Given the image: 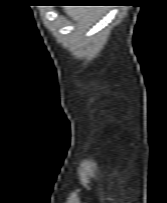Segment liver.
I'll list each match as a JSON object with an SVG mask.
<instances>
[{
  "label": "liver",
  "mask_w": 167,
  "mask_h": 203,
  "mask_svg": "<svg viewBox=\"0 0 167 203\" xmlns=\"http://www.w3.org/2000/svg\"><path fill=\"white\" fill-rule=\"evenodd\" d=\"M67 15L72 17L73 20L80 23L88 22L97 13V9L92 7H68L65 9Z\"/></svg>",
  "instance_id": "obj_1"
}]
</instances>
